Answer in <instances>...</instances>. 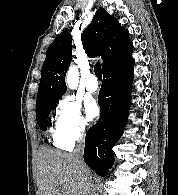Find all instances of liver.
<instances>
[{"instance_id":"6515ba94","label":"liver","mask_w":178,"mask_h":195,"mask_svg":"<svg viewBox=\"0 0 178 195\" xmlns=\"http://www.w3.org/2000/svg\"><path fill=\"white\" fill-rule=\"evenodd\" d=\"M88 171L91 179L80 171L73 154L42 146L37 157L39 195H89Z\"/></svg>"}]
</instances>
